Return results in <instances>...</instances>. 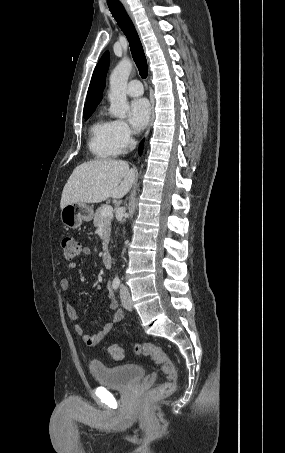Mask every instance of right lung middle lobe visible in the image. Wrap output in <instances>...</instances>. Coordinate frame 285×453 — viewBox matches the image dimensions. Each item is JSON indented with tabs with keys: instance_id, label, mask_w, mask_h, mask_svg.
Instances as JSON below:
<instances>
[{
	"instance_id": "dd1d6c3e",
	"label": "right lung middle lobe",
	"mask_w": 285,
	"mask_h": 453,
	"mask_svg": "<svg viewBox=\"0 0 285 453\" xmlns=\"http://www.w3.org/2000/svg\"><path fill=\"white\" fill-rule=\"evenodd\" d=\"M92 113H93V110L92 111H88V112H84L83 117L87 120L91 116Z\"/></svg>"
}]
</instances>
